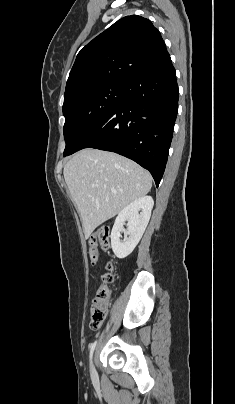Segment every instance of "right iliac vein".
I'll return each mask as SVG.
<instances>
[{
    "mask_svg": "<svg viewBox=\"0 0 235 404\" xmlns=\"http://www.w3.org/2000/svg\"><path fill=\"white\" fill-rule=\"evenodd\" d=\"M91 375H92V377H95V375H96L95 368H94L93 364L91 365Z\"/></svg>",
    "mask_w": 235,
    "mask_h": 404,
    "instance_id": "right-iliac-vein-1",
    "label": "right iliac vein"
}]
</instances>
